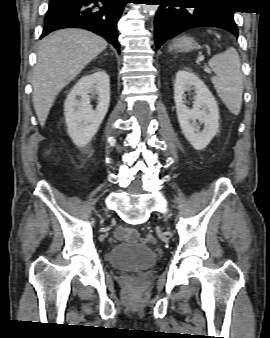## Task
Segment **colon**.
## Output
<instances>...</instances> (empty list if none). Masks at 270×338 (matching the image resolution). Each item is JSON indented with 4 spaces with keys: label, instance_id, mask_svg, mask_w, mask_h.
<instances>
[{
    "label": "colon",
    "instance_id": "obj_1",
    "mask_svg": "<svg viewBox=\"0 0 270 338\" xmlns=\"http://www.w3.org/2000/svg\"><path fill=\"white\" fill-rule=\"evenodd\" d=\"M143 241H145V242H147L149 244H155L156 243V239L153 236L145 237L143 239Z\"/></svg>",
    "mask_w": 270,
    "mask_h": 338
}]
</instances>
